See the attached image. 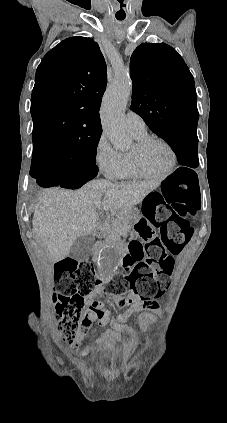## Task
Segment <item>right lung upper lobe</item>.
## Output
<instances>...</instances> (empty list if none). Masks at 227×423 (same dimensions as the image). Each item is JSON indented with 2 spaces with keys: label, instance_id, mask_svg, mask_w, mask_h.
Listing matches in <instances>:
<instances>
[{
  "label": "right lung upper lobe",
  "instance_id": "1",
  "mask_svg": "<svg viewBox=\"0 0 227 423\" xmlns=\"http://www.w3.org/2000/svg\"><path fill=\"white\" fill-rule=\"evenodd\" d=\"M106 84V63L93 39L71 37L50 50L37 68L31 96L34 150L101 134Z\"/></svg>",
  "mask_w": 227,
  "mask_h": 423
}]
</instances>
